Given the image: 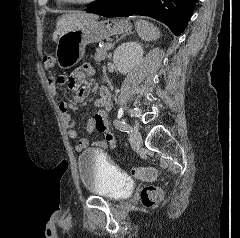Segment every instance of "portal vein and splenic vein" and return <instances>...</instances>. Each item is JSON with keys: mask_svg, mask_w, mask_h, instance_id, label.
<instances>
[{"mask_svg": "<svg viewBox=\"0 0 240 238\" xmlns=\"http://www.w3.org/2000/svg\"><path fill=\"white\" fill-rule=\"evenodd\" d=\"M112 48V43H108L106 46V50H110Z\"/></svg>", "mask_w": 240, "mask_h": 238, "instance_id": "obj_1", "label": "portal vein and splenic vein"}]
</instances>
